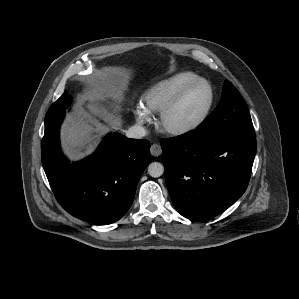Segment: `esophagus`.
<instances>
[{"label":"esophagus","mask_w":299,"mask_h":299,"mask_svg":"<svg viewBox=\"0 0 299 299\" xmlns=\"http://www.w3.org/2000/svg\"><path fill=\"white\" fill-rule=\"evenodd\" d=\"M151 155L158 157L162 153L161 146L159 144H153L150 148Z\"/></svg>","instance_id":"esophagus-1"}]
</instances>
